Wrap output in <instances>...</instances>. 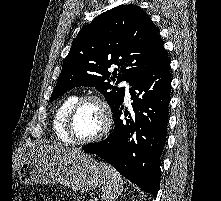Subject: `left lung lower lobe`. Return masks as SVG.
Returning a JSON list of instances; mask_svg holds the SVG:
<instances>
[{"label": "left lung lower lobe", "instance_id": "left-lung-lower-lobe-1", "mask_svg": "<svg viewBox=\"0 0 221 201\" xmlns=\"http://www.w3.org/2000/svg\"><path fill=\"white\" fill-rule=\"evenodd\" d=\"M170 59L165 54L131 86V113L121 120L123 100L113 111L115 127L101 142L83 146L111 164L146 193L157 195L170 102Z\"/></svg>", "mask_w": 221, "mask_h": 201}]
</instances>
